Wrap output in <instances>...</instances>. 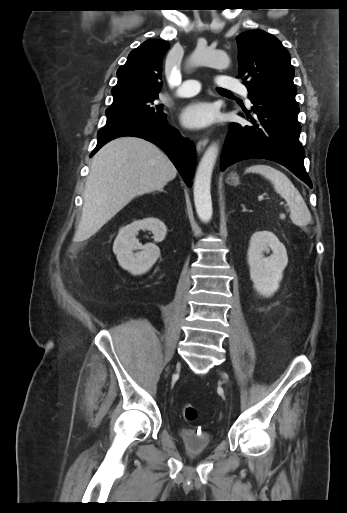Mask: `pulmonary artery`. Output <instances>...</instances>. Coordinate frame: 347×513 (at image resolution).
<instances>
[{
	"label": "pulmonary artery",
	"mask_w": 347,
	"mask_h": 513,
	"mask_svg": "<svg viewBox=\"0 0 347 513\" xmlns=\"http://www.w3.org/2000/svg\"><path fill=\"white\" fill-rule=\"evenodd\" d=\"M217 85L219 87H223L241 94L243 97H245L247 103H250L247 88L240 84L238 81L227 76H219L217 79ZM200 89L201 84L199 81L185 80L177 90L176 95L179 97H191L199 93Z\"/></svg>",
	"instance_id": "obj_1"
}]
</instances>
